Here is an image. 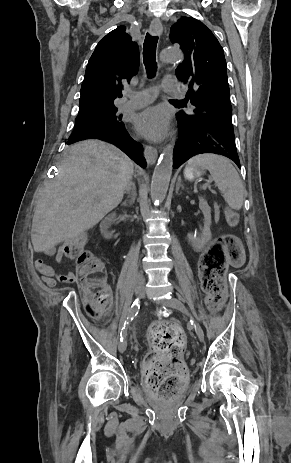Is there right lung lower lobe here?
Wrapping results in <instances>:
<instances>
[{
    "instance_id": "obj_1",
    "label": "right lung lower lobe",
    "mask_w": 291,
    "mask_h": 463,
    "mask_svg": "<svg viewBox=\"0 0 291 463\" xmlns=\"http://www.w3.org/2000/svg\"><path fill=\"white\" fill-rule=\"evenodd\" d=\"M85 139H100L109 142L124 153H126L138 165L145 168L146 160L143 157V147L140 143L134 141L127 133L124 125L122 127L110 130H97L82 134L77 137L69 138L67 144H72Z\"/></svg>"
}]
</instances>
